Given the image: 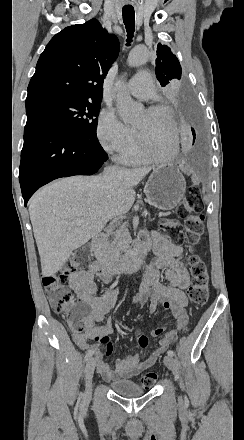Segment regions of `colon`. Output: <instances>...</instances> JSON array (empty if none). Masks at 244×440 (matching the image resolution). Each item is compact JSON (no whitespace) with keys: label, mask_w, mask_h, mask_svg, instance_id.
Returning <instances> with one entry per match:
<instances>
[{"label":"colon","mask_w":244,"mask_h":440,"mask_svg":"<svg viewBox=\"0 0 244 440\" xmlns=\"http://www.w3.org/2000/svg\"><path fill=\"white\" fill-rule=\"evenodd\" d=\"M204 204L199 197L197 189L188 190V198L183 207L178 210V219L185 223V239L188 243L190 254L187 257V266L192 277V284L188 290L190 300L197 306H203L208 301L209 274L203 259L193 252L204 231ZM180 221L163 220L159 223L160 230H171L172 237L176 242H183V232ZM76 257L68 263L61 265L55 273L43 274L41 283L47 292L53 311L62 315L77 334L86 331L90 324L87 314L92 313L91 305H81L75 302L74 294L65 287V278L68 274L76 272L79 267H87L90 258V248H76L72 252ZM141 331L143 328H137ZM139 346L146 349L149 339L142 334L138 340ZM157 374L145 372L141 378V384L150 387L157 381Z\"/></svg>","instance_id":"obj_1"}]
</instances>
